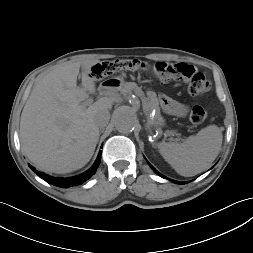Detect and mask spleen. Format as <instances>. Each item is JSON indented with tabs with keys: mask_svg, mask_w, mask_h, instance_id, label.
<instances>
[{
	"mask_svg": "<svg viewBox=\"0 0 253 253\" xmlns=\"http://www.w3.org/2000/svg\"><path fill=\"white\" fill-rule=\"evenodd\" d=\"M222 140L219 127L209 125L182 143L161 142L158 149L178 174L191 177L211 165L221 150Z\"/></svg>",
	"mask_w": 253,
	"mask_h": 253,
	"instance_id": "3e777b00",
	"label": "spleen"
}]
</instances>
